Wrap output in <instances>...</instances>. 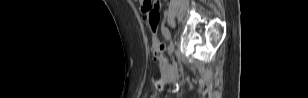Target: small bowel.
<instances>
[{"instance_id":"1","label":"small bowel","mask_w":308,"mask_h":98,"mask_svg":"<svg viewBox=\"0 0 308 98\" xmlns=\"http://www.w3.org/2000/svg\"><path fill=\"white\" fill-rule=\"evenodd\" d=\"M145 4H146V1L144 0V1H141V10H143V7L145 6ZM163 69H164V66H163ZM165 75L166 76H168L169 75V72L167 71V70H165Z\"/></svg>"}]
</instances>
